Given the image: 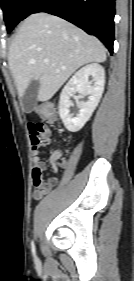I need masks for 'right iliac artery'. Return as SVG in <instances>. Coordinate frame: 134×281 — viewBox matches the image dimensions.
Returning a JSON list of instances; mask_svg holds the SVG:
<instances>
[{"label":"right iliac artery","instance_id":"1","mask_svg":"<svg viewBox=\"0 0 134 281\" xmlns=\"http://www.w3.org/2000/svg\"><path fill=\"white\" fill-rule=\"evenodd\" d=\"M31 249H32V254H33V256L35 257V255H36V249H35V244H34L33 241H32V243H31Z\"/></svg>","mask_w":134,"mask_h":281}]
</instances>
